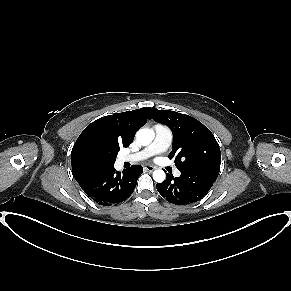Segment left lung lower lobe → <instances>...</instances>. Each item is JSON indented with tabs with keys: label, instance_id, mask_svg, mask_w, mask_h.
<instances>
[{
	"label": "left lung lower lobe",
	"instance_id": "1",
	"mask_svg": "<svg viewBox=\"0 0 291 291\" xmlns=\"http://www.w3.org/2000/svg\"><path fill=\"white\" fill-rule=\"evenodd\" d=\"M174 178L167 174L162 183L156 184L158 192L170 203L188 204L202 199L210 190L218 177L219 171L214 169H185Z\"/></svg>",
	"mask_w": 291,
	"mask_h": 291
}]
</instances>
